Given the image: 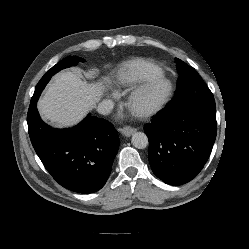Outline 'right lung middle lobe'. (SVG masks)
<instances>
[{
  "mask_svg": "<svg viewBox=\"0 0 249 249\" xmlns=\"http://www.w3.org/2000/svg\"><path fill=\"white\" fill-rule=\"evenodd\" d=\"M78 62H85V60L80 58V57H76V56H68V57L64 58L63 60H61L60 62H58L50 70H48V72L41 78V80L39 81V83L37 84V86L35 88V92H42L45 85L48 83L50 78L55 73H57L61 69L71 67V66H76L78 64Z\"/></svg>",
  "mask_w": 249,
  "mask_h": 249,
  "instance_id": "obj_1",
  "label": "right lung middle lobe"
}]
</instances>
